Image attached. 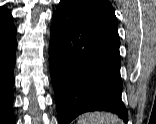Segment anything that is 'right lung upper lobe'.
<instances>
[{
	"label": "right lung upper lobe",
	"mask_w": 156,
	"mask_h": 124,
	"mask_svg": "<svg viewBox=\"0 0 156 124\" xmlns=\"http://www.w3.org/2000/svg\"><path fill=\"white\" fill-rule=\"evenodd\" d=\"M12 25V16L6 9L0 7V27H10Z\"/></svg>",
	"instance_id": "obj_1"
}]
</instances>
